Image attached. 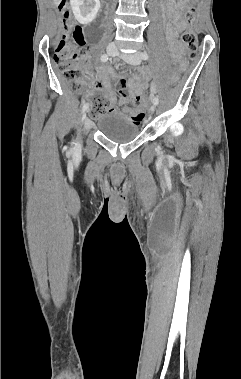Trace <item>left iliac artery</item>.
Returning <instances> with one entry per match:
<instances>
[{
    "label": "left iliac artery",
    "instance_id": "1",
    "mask_svg": "<svg viewBox=\"0 0 241 379\" xmlns=\"http://www.w3.org/2000/svg\"><path fill=\"white\" fill-rule=\"evenodd\" d=\"M140 57H141L143 60H148V58H149L147 52H141V53H140ZM158 103H159V99H158V97H154V98H153V104L157 105Z\"/></svg>",
    "mask_w": 241,
    "mask_h": 379
}]
</instances>
